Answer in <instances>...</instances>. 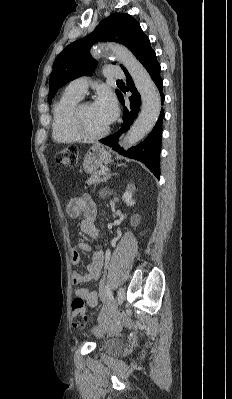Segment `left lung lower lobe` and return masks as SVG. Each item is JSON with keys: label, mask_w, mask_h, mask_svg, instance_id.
Wrapping results in <instances>:
<instances>
[{"label": "left lung lower lobe", "mask_w": 232, "mask_h": 399, "mask_svg": "<svg viewBox=\"0 0 232 399\" xmlns=\"http://www.w3.org/2000/svg\"><path fill=\"white\" fill-rule=\"evenodd\" d=\"M136 57L146 68L152 80L158 87L163 103V81L160 77V65L157 62L154 50L150 47V42H148L144 47L139 50ZM125 74L128 90H130L132 93V96L129 97L130 107H124L123 124L119 131L116 132L114 135L101 139L100 142L112 147L113 150L117 151L119 154L125 157L135 159L144 163L145 166L159 179L162 119L164 117L163 109L161 110L158 122L143 142H141L137 146L130 148L127 151L119 147V145L117 144L118 136L126 132L132 125L139 113L141 104V96L137 92L131 76L127 71L125 72ZM118 98L120 102L124 105L123 95L121 94Z\"/></svg>", "instance_id": "obj_1"}]
</instances>
